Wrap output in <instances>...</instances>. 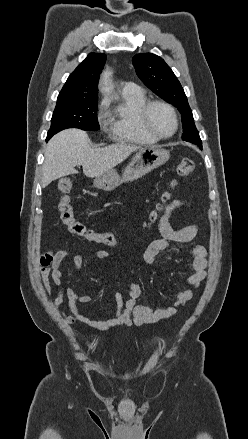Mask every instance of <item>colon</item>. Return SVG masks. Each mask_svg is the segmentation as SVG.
Returning a JSON list of instances; mask_svg holds the SVG:
<instances>
[{
    "label": "colon",
    "mask_w": 248,
    "mask_h": 439,
    "mask_svg": "<svg viewBox=\"0 0 248 439\" xmlns=\"http://www.w3.org/2000/svg\"><path fill=\"white\" fill-rule=\"evenodd\" d=\"M195 169V163L189 158L182 159L177 165V174L180 177L190 176ZM175 186V182L171 183V187ZM58 189L61 193L59 211L63 223L67 226L68 230L86 241L101 245L112 247L116 246L120 242L118 234L111 231H98L95 229L87 228L82 222H80L74 214L73 205L69 197V193L72 189V181L70 178H62L58 182ZM170 192L166 191L162 194L159 203L149 214L146 226L154 224L160 219L161 213L164 211L170 201Z\"/></svg>",
    "instance_id": "5ec220e1"
}]
</instances>
